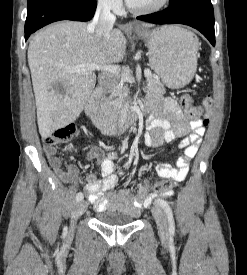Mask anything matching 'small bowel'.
Listing matches in <instances>:
<instances>
[{
    "mask_svg": "<svg viewBox=\"0 0 247 275\" xmlns=\"http://www.w3.org/2000/svg\"><path fill=\"white\" fill-rule=\"evenodd\" d=\"M146 105L152 112L143 136L146 146L160 147L164 143L173 142L176 138H183L180 146L184 148V155L177 160L176 167L168 163L156 166V172L161 178H170L179 183L187 176L190 161L198 153L201 137L205 133L204 122L200 118L188 120L179 104L170 98L151 94L146 98ZM45 154L55 174L62 181L74 183L78 180L77 166L69 164L63 168L54 146L46 145ZM86 157L88 160H95L99 166L100 177L96 173H90L86 177L88 200L94 205L96 212L117 210L137 215L156 196L149 193L145 182L137 185L136 193L129 189L114 190L118 181L114 152L106 153L100 148H93ZM172 194L173 191L169 190L161 195L167 197Z\"/></svg>",
    "mask_w": 247,
    "mask_h": 275,
    "instance_id": "c3829d8e",
    "label": "small bowel"
}]
</instances>
